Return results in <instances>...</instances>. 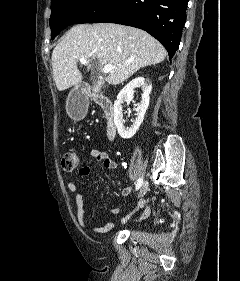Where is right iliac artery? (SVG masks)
<instances>
[{
	"mask_svg": "<svg viewBox=\"0 0 240 281\" xmlns=\"http://www.w3.org/2000/svg\"><path fill=\"white\" fill-rule=\"evenodd\" d=\"M142 183H143V179L139 178L136 184V190H138L141 187Z\"/></svg>",
	"mask_w": 240,
	"mask_h": 281,
	"instance_id": "obj_1",
	"label": "right iliac artery"
}]
</instances>
